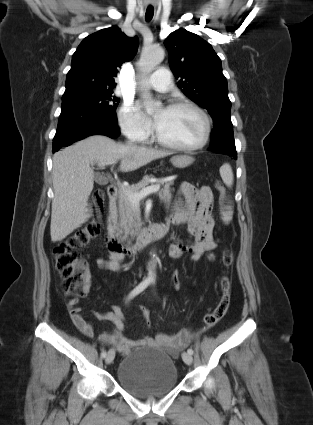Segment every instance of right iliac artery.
<instances>
[{"label":"right iliac artery","instance_id":"82829eb1","mask_svg":"<svg viewBox=\"0 0 313 425\" xmlns=\"http://www.w3.org/2000/svg\"><path fill=\"white\" fill-rule=\"evenodd\" d=\"M150 280L149 279H145L143 280L138 286H136L131 293L128 296V300L134 298L136 295H138L140 292H142L145 288H147V286L150 284ZM101 357L105 358L106 357V351L103 350L101 352Z\"/></svg>","mask_w":313,"mask_h":425}]
</instances>
